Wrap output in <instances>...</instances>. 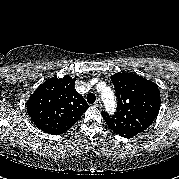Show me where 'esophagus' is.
Here are the masks:
<instances>
[{
  "label": "esophagus",
  "mask_w": 179,
  "mask_h": 179,
  "mask_svg": "<svg viewBox=\"0 0 179 179\" xmlns=\"http://www.w3.org/2000/svg\"><path fill=\"white\" fill-rule=\"evenodd\" d=\"M94 105L98 108H101L102 107V103H101V100L100 99H97L96 102L94 103Z\"/></svg>",
  "instance_id": "esophagus-1"
}]
</instances>
